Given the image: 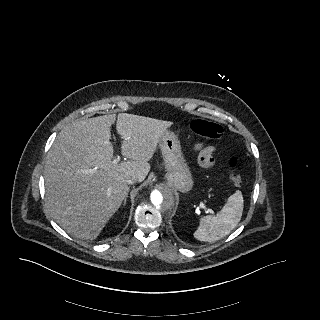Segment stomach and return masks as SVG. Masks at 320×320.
I'll return each mask as SVG.
<instances>
[{
    "label": "stomach",
    "instance_id": "0dacf381",
    "mask_svg": "<svg viewBox=\"0 0 320 320\" xmlns=\"http://www.w3.org/2000/svg\"><path fill=\"white\" fill-rule=\"evenodd\" d=\"M159 146L167 181L178 191L187 193L193 188V177L183 156L178 137L172 131L165 130L161 135Z\"/></svg>",
    "mask_w": 320,
    "mask_h": 320
}]
</instances>
